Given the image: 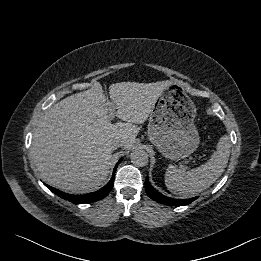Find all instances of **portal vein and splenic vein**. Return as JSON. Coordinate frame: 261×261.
Returning <instances> with one entry per match:
<instances>
[{"label": "portal vein and splenic vein", "instance_id": "1", "mask_svg": "<svg viewBox=\"0 0 261 261\" xmlns=\"http://www.w3.org/2000/svg\"><path fill=\"white\" fill-rule=\"evenodd\" d=\"M114 117H115V110L113 108H110L108 118L111 120L114 119Z\"/></svg>", "mask_w": 261, "mask_h": 261}]
</instances>
